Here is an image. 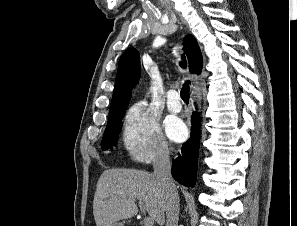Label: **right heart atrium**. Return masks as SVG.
<instances>
[{
	"label": "right heart atrium",
	"mask_w": 297,
	"mask_h": 226,
	"mask_svg": "<svg viewBox=\"0 0 297 226\" xmlns=\"http://www.w3.org/2000/svg\"><path fill=\"white\" fill-rule=\"evenodd\" d=\"M122 141L128 154L138 162L150 163L169 154L158 120L144 102L135 103L127 111Z\"/></svg>",
	"instance_id": "d8ad5b80"
}]
</instances>
